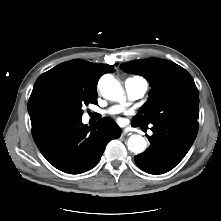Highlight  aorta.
<instances>
[{"label": "aorta", "mask_w": 221, "mask_h": 221, "mask_svg": "<svg viewBox=\"0 0 221 221\" xmlns=\"http://www.w3.org/2000/svg\"><path fill=\"white\" fill-rule=\"evenodd\" d=\"M102 96L108 100H119L123 96L120 83L110 74L103 75L98 83ZM146 148V141L140 135H132L128 139V149L136 154L142 153Z\"/></svg>", "instance_id": "aorta-1"}]
</instances>
